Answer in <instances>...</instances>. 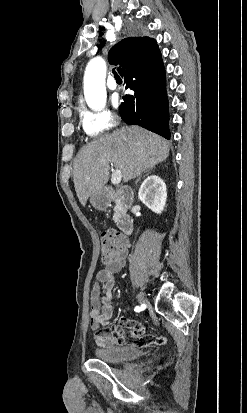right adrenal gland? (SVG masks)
Returning a JSON list of instances; mask_svg holds the SVG:
<instances>
[{"label": "right adrenal gland", "mask_w": 247, "mask_h": 413, "mask_svg": "<svg viewBox=\"0 0 247 413\" xmlns=\"http://www.w3.org/2000/svg\"><path fill=\"white\" fill-rule=\"evenodd\" d=\"M152 168H155V164H152V166H148V168H146V170H143V172H141V174H139L137 180H135V184H137L138 180H140L142 174H144V172H149V170H152Z\"/></svg>", "instance_id": "right-adrenal-gland-1"}]
</instances>
